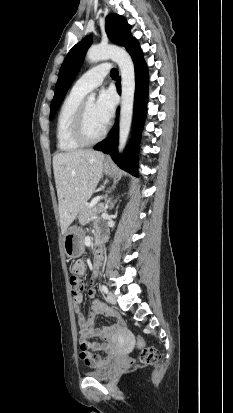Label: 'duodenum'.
<instances>
[{"instance_id":"410a0bca","label":"duodenum","mask_w":233,"mask_h":413,"mask_svg":"<svg viewBox=\"0 0 233 413\" xmlns=\"http://www.w3.org/2000/svg\"><path fill=\"white\" fill-rule=\"evenodd\" d=\"M105 241V236L102 233H98L94 240L95 247V260L94 267L96 269L100 268L103 264V253H102V244Z\"/></svg>"}]
</instances>
